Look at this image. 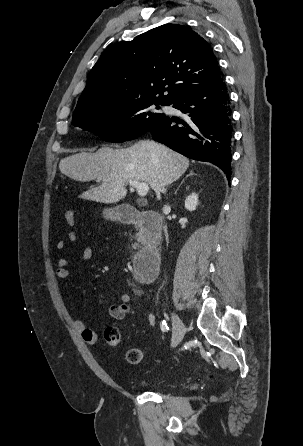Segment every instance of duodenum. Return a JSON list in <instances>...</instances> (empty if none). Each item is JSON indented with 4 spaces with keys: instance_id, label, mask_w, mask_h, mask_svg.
<instances>
[{
    "instance_id": "duodenum-1",
    "label": "duodenum",
    "mask_w": 303,
    "mask_h": 446,
    "mask_svg": "<svg viewBox=\"0 0 303 446\" xmlns=\"http://www.w3.org/2000/svg\"><path fill=\"white\" fill-rule=\"evenodd\" d=\"M117 217L122 223L138 226L147 237L146 245L134 257L133 266L141 282L151 281L156 276L160 264L157 242L162 217L155 211H139L132 207L120 208Z\"/></svg>"
}]
</instances>
